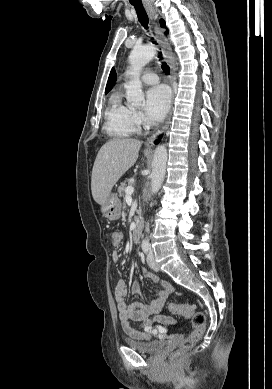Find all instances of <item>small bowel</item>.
I'll use <instances>...</instances> for the list:
<instances>
[{"label": "small bowel", "mask_w": 272, "mask_h": 389, "mask_svg": "<svg viewBox=\"0 0 272 389\" xmlns=\"http://www.w3.org/2000/svg\"><path fill=\"white\" fill-rule=\"evenodd\" d=\"M120 259V253L117 251L113 252V262L118 263ZM143 273L145 277L160 286L157 296L150 303L139 301L127 304L128 289L126 282L119 280L115 286V299L122 328L129 337L137 340L150 339L158 333L160 325L173 321L172 318L162 314L165 301L172 292V286L168 282L160 280L153 273L147 271ZM132 292L140 296V290L136 283L132 284ZM134 322H140L141 329H136L132 325Z\"/></svg>", "instance_id": "1"}]
</instances>
